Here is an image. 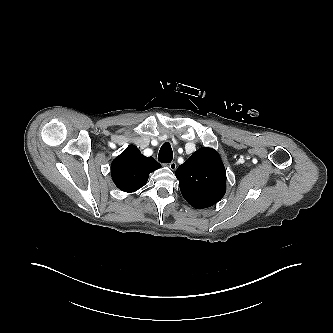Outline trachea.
I'll use <instances>...</instances> for the list:
<instances>
[{"mask_svg": "<svg viewBox=\"0 0 333 333\" xmlns=\"http://www.w3.org/2000/svg\"><path fill=\"white\" fill-rule=\"evenodd\" d=\"M173 158V152L170 143L166 142L161 146L159 151L158 160L161 163H170Z\"/></svg>", "mask_w": 333, "mask_h": 333, "instance_id": "obj_1", "label": "trachea"}]
</instances>
